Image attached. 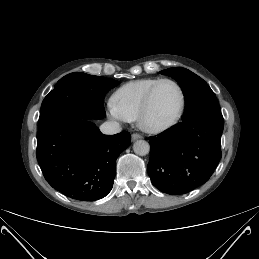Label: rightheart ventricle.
I'll list each match as a JSON object with an SVG mask.
<instances>
[{
  "instance_id": "right-heart-ventricle-1",
  "label": "right heart ventricle",
  "mask_w": 259,
  "mask_h": 259,
  "mask_svg": "<svg viewBox=\"0 0 259 259\" xmlns=\"http://www.w3.org/2000/svg\"><path fill=\"white\" fill-rule=\"evenodd\" d=\"M158 80L159 78L134 80L122 85L115 91L113 103L125 120H137L146 93Z\"/></svg>"
}]
</instances>
